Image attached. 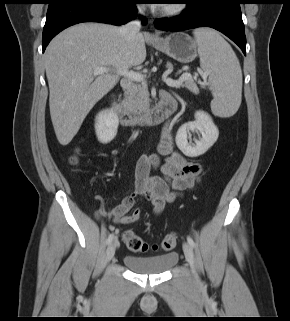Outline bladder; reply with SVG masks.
<instances>
[{"mask_svg": "<svg viewBox=\"0 0 290 321\" xmlns=\"http://www.w3.org/2000/svg\"><path fill=\"white\" fill-rule=\"evenodd\" d=\"M178 260L177 252L154 256L126 255L124 264L131 271L142 275H160L170 270Z\"/></svg>", "mask_w": 290, "mask_h": 321, "instance_id": "31cf9c89", "label": "bladder"}]
</instances>
